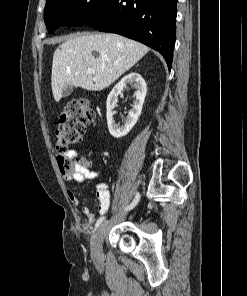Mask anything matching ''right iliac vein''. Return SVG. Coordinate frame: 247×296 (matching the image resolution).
Masks as SVG:
<instances>
[{
  "mask_svg": "<svg viewBox=\"0 0 247 296\" xmlns=\"http://www.w3.org/2000/svg\"><path fill=\"white\" fill-rule=\"evenodd\" d=\"M107 223L102 224L95 231L91 239V255L94 259H99L102 256V242L106 233Z\"/></svg>",
  "mask_w": 247,
  "mask_h": 296,
  "instance_id": "right-iliac-vein-1",
  "label": "right iliac vein"
}]
</instances>
